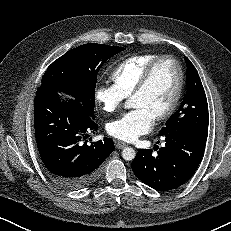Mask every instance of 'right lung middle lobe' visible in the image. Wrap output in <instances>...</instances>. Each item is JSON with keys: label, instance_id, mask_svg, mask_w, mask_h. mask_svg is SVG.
Instances as JSON below:
<instances>
[{"label": "right lung middle lobe", "instance_id": "obj_1", "mask_svg": "<svg viewBox=\"0 0 231 231\" xmlns=\"http://www.w3.org/2000/svg\"><path fill=\"white\" fill-rule=\"evenodd\" d=\"M123 50V47L95 43L74 48L47 68L41 86L72 96L94 117L97 74L109 58Z\"/></svg>", "mask_w": 231, "mask_h": 231}]
</instances>
